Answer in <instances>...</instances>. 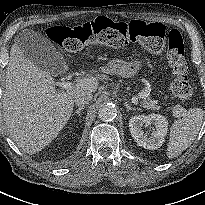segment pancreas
I'll return each instance as SVG.
<instances>
[{
	"label": "pancreas",
	"instance_id": "obj_1",
	"mask_svg": "<svg viewBox=\"0 0 205 205\" xmlns=\"http://www.w3.org/2000/svg\"><path fill=\"white\" fill-rule=\"evenodd\" d=\"M148 94H149V89H145L141 92L140 95L142 98L141 105L144 108L159 111L161 107L159 106L158 101L155 99H151L150 97H147Z\"/></svg>",
	"mask_w": 205,
	"mask_h": 205
}]
</instances>
